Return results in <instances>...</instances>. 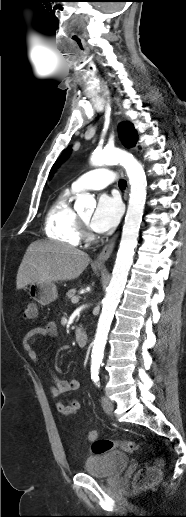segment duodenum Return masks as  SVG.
<instances>
[{
    "mask_svg": "<svg viewBox=\"0 0 186 517\" xmlns=\"http://www.w3.org/2000/svg\"><path fill=\"white\" fill-rule=\"evenodd\" d=\"M75 339H76L78 346H80L82 348L87 346L88 335L84 329L79 328L76 330Z\"/></svg>",
    "mask_w": 186,
    "mask_h": 517,
    "instance_id": "1",
    "label": "duodenum"
}]
</instances>
